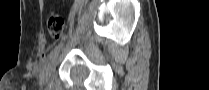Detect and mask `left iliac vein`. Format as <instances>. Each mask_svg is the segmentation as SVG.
<instances>
[{
    "label": "left iliac vein",
    "mask_w": 209,
    "mask_h": 90,
    "mask_svg": "<svg viewBox=\"0 0 209 90\" xmlns=\"http://www.w3.org/2000/svg\"><path fill=\"white\" fill-rule=\"evenodd\" d=\"M56 64H57V57H55L52 62L49 65L48 68V75L46 77L43 78V82H47L49 79V76L54 72L55 68H56Z\"/></svg>",
    "instance_id": "1"
}]
</instances>
